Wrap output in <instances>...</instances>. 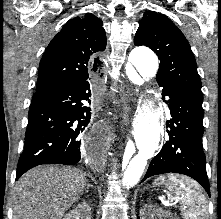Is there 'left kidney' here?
Segmentation results:
<instances>
[{
	"instance_id": "5707ae66",
	"label": "left kidney",
	"mask_w": 221,
	"mask_h": 219,
	"mask_svg": "<svg viewBox=\"0 0 221 219\" xmlns=\"http://www.w3.org/2000/svg\"><path fill=\"white\" fill-rule=\"evenodd\" d=\"M140 216V219H175L170 212L164 211L162 208H155L151 205L145 206Z\"/></svg>"
}]
</instances>
